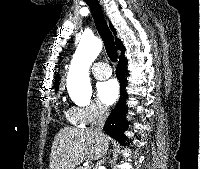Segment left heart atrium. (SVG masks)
Here are the masks:
<instances>
[{"mask_svg":"<svg viewBox=\"0 0 200 169\" xmlns=\"http://www.w3.org/2000/svg\"><path fill=\"white\" fill-rule=\"evenodd\" d=\"M98 97L100 101L109 106L115 103L119 96V86L115 79L102 82L97 88Z\"/></svg>","mask_w":200,"mask_h":169,"instance_id":"39dd6f15","label":"left heart atrium"}]
</instances>
